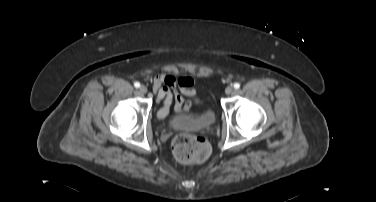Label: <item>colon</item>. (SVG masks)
<instances>
[{"label":"colon","mask_w":376,"mask_h":202,"mask_svg":"<svg viewBox=\"0 0 376 202\" xmlns=\"http://www.w3.org/2000/svg\"><path fill=\"white\" fill-rule=\"evenodd\" d=\"M173 154L181 163H200L210 154L208 142L200 136L191 134L177 135L172 144Z\"/></svg>","instance_id":"5ec220e1"}]
</instances>
